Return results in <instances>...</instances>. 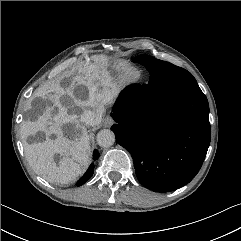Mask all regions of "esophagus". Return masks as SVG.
Segmentation results:
<instances>
[{
	"mask_svg": "<svg viewBox=\"0 0 241 241\" xmlns=\"http://www.w3.org/2000/svg\"><path fill=\"white\" fill-rule=\"evenodd\" d=\"M113 123H114V120H113L111 117H109V116L104 119V125H105V127H109V126H111Z\"/></svg>",
	"mask_w": 241,
	"mask_h": 241,
	"instance_id": "1",
	"label": "esophagus"
}]
</instances>
